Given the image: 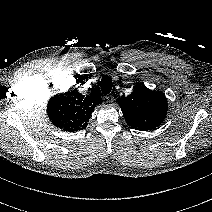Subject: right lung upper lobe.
<instances>
[{
	"label": "right lung upper lobe",
	"instance_id": "right-lung-upper-lobe-1",
	"mask_svg": "<svg viewBox=\"0 0 212 212\" xmlns=\"http://www.w3.org/2000/svg\"><path fill=\"white\" fill-rule=\"evenodd\" d=\"M102 99L96 93L84 96L77 91H69L52 97L47 106V112L52 123L68 132L84 129L96 105Z\"/></svg>",
	"mask_w": 212,
	"mask_h": 212
}]
</instances>
